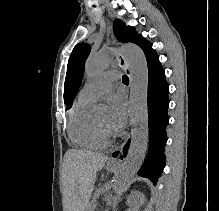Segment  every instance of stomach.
Listing matches in <instances>:
<instances>
[{
  "label": "stomach",
  "mask_w": 219,
  "mask_h": 211,
  "mask_svg": "<svg viewBox=\"0 0 219 211\" xmlns=\"http://www.w3.org/2000/svg\"><path fill=\"white\" fill-rule=\"evenodd\" d=\"M117 165H115V164H107L106 165V169L108 170V171H115V170H117Z\"/></svg>",
  "instance_id": "1"
}]
</instances>
